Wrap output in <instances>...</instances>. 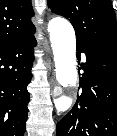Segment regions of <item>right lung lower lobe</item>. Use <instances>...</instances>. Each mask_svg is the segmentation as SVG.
Here are the masks:
<instances>
[{"instance_id":"1","label":"right lung lower lobe","mask_w":117,"mask_h":136,"mask_svg":"<svg viewBox=\"0 0 117 136\" xmlns=\"http://www.w3.org/2000/svg\"><path fill=\"white\" fill-rule=\"evenodd\" d=\"M34 33L0 46V136H23L26 129Z\"/></svg>"}]
</instances>
